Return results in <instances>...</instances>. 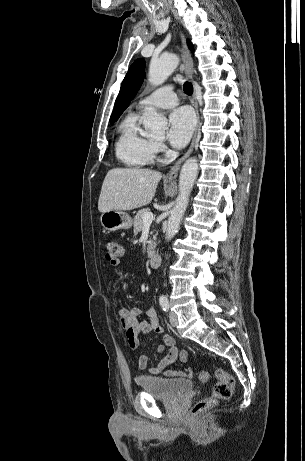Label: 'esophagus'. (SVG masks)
<instances>
[{"label": "esophagus", "mask_w": 305, "mask_h": 461, "mask_svg": "<svg viewBox=\"0 0 305 461\" xmlns=\"http://www.w3.org/2000/svg\"><path fill=\"white\" fill-rule=\"evenodd\" d=\"M180 39H181V50L180 51H181V56H182V60H183L182 68L184 69L185 74L187 75V77L192 82H194L193 60H192V57L190 55V52L188 51L186 41H185V37H184V35L182 33H180ZM192 102L194 104V107H195L196 113H197V126H196V129H195V132H194V135H193V138H192V141H191L189 149L171 167L170 171L165 176L166 181H174L177 178L182 163L190 156V154L193 151L194 145H195L197 132H198V127H199V122H200V115H199L198 105H197V101H196V91H195V89H194V92H193V100H192Z\"/></svg>", "instance_id": "obj_1"}]
</instances>
